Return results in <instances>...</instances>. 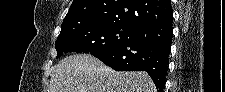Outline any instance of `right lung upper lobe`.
I'll return each mask as SVG.
<instances>
[{
  "label": "right lung upper lobe",
  "mask_w": 225,
  "mask_h": 92,
  "mask_svg": "<svg viewBox=\"0 0 225 92\" xmlns=\"http://www.w3.org/2000/svg\"><path fill=\"white\" fill-rule=\"evenodd\" d=\"M172 19L170 0H74L61 30L83 22H118L138 28Z\"/></svg>",
  "instance_id": "cb5924a9"
}]
</instances>
